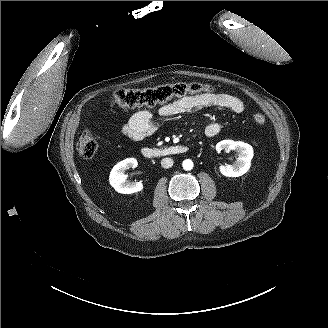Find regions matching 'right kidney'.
Wrapping results in <instances>:
<instances>
[{
    "label": "right kidney",
    "mask_w": 328,
    "mask_h": 328,
    "mask_svg": "<svg viewBox=\"0 0 328 328\" xmlns=\"http://www.w3.org/2000/svg\"><path fill=\"white\" fill-rule=\"evenodd\" d=\"M135 167H137V161L134 158L123 160L114 166L109 176V184L115 189V191L122 194H132L144 189L141 182H128V177L124 174L125 170Z\"/></svg>",
    "instance_id": "obj_1"
}]
</instances>
